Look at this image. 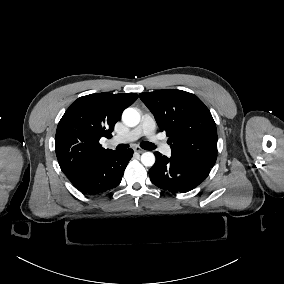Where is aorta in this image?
Listing matches in <instances>:
<instances>
[{
    "label": "aorta",
    "instance_id": "obj_1",
    "mask_svg": "<svg viewBox=\"0 0 284 284\" xmlns=\"http://www.w3.org/2000/svg\"><path fill=\"white\" fill-rule=\"evenodd\" d=\"M140 113L135 108H127L122 114V121L128 127H135L140 122ZM141 162L146 167H151L155 163V156L152 152H145L141 155Z\"/></svg>",
    "mask_w": 284,
    "mask_h": 284
}]
</instances>
